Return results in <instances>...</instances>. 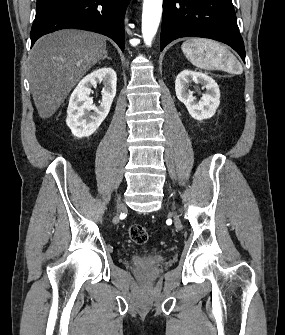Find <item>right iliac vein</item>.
<instances>
[{"label": "right iliac vein", "instance_id": "obj_1", "mask_svg": "<svg viewBox=\"0 0 285 335\" xmlns=\"http://www.w3.org/2000/svg\"><path fill=\"white\" fill-rule=\"evenodd\" d=\"M119 211L125 210V205L121 202L118 207Z\"/></svg>", "mask_w": 285, "mask_h": 335}]
</instances>
